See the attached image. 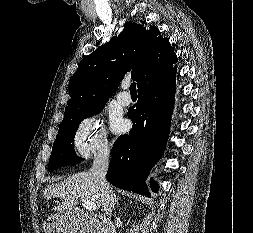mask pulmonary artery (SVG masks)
<instances>
[{
	"label": "pulmonary artery",
	"mask_w": 253,
	"mask_h": 233,
	"mask_svg": "<svg viewBox=\"0 0 253 233\" xmlns=\"http://www.w3.org/2000/svg\"><path fill=\"white\" fill-rule=\"evenodd\" d=\"M122 88L123 91L117 95V101L121 106L126 107L130 105L131 97L126 92L127 84H123Z\"/></svg>",
	"instance_id": "1"
}]
</instances>
